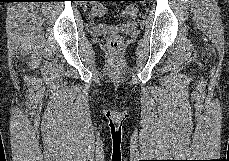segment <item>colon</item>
Wrapping results in <instances>:
<instances>
[{
    "instance_id": "colon-1",
    "label": "colon",
    "mask_w": 229,
    "mask_h": 161,
    "mask_svg": "<svg viewBox=\"0 0 229 161\" xmlns=\"http://www.w3.org/2000/svg\"><path fill=\"white\" fill-rule=\"evenodd\" d=\"M91 13L95 17L104 16L107 13V9L104 4L100 3L99 1H94L91 6ZM138 13V7L136 5H128L125 10L124 14L128 17H135ZM121 46V39L117 35H112L108 39V47L112 51H117Z\"/></svg>"
}]
</instances>
